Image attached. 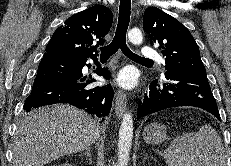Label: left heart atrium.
Here are the masks:
<instances>
[{
	"instance_id": "left-heart-atrium-1",
	"label": "left heart atrium",
	"mask_w": 231,
	"mask_h": 166,
	"mask_svg": "<svg viewBox=\"0 0 231 166\" xmlns=\"http://www.w3.org/2000/svg\"><path fill=\"white\" fill-rule=\"evenodd\" d=\"M116 81L124 88H133L137 84L136 72L131 68H125L119 72Z\"/></svg>"
}]
</instances>
